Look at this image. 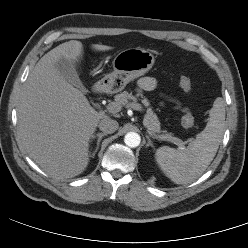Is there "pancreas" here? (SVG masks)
<instances>
[{
  "label": "pancreas",
  "instance_id": "1",
  "mask_svg": "<svg viewBox=\"0 0 248 248\" xmlns=\"http://www.w3.org/2000/svg\"><path fill=\"white\" fill-rule=\"evenodd\" d=\"M114 100L117 105L125 106L128 105L129 101L131 100L136 101L137 97L134 96L132 93H128L127 91H124L120 94L115 95ZM142 103L144 106L148 107L143 123L147 127L149 134L153 138L172 142L174 137L172 136L171 133H166V131H163V133L160 134L162 132L160 127V122L157 115L152 110V108L149 107L150 105L149 101L146 98H144L142 99Z\"/></svg>",
  "mask_w": 248,
  "mask_h": 248
}]
</instances>
